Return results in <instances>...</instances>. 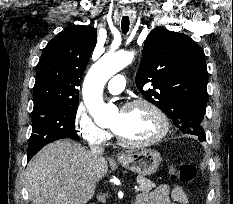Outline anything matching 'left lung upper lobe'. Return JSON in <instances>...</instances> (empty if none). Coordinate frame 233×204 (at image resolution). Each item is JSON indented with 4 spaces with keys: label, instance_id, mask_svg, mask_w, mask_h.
<instances>
[{
    "label": "left lung upper lobe",
    "instance_id": "1",
    "mask_svg": "<svg viewBox=\"0 0 233 204\" xmlns=\"http://www.w3.org/2000/svg\"><path fill=\"white\" fill-rule=\"evenodd\" d=\"M207 65L202 48L182 33L156 27L148 35L136 74L142 95L182 133L206 136L201 122L207 102ZM152 89L143 90L146 83Z\"/></svg>",
    "mask_w": 233,
    "mask_h": 204
}]
</instances>
